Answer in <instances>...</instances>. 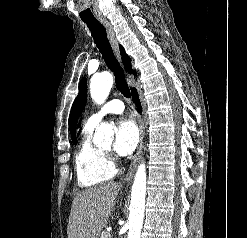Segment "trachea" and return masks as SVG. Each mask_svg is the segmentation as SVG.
Masks as SVG:
<instances>
[{
    "label": "trachea",
    "instance_id": "3493384b",
    "mask_svg": "<svg viewBox=\"0 0 247 238\" xmlns=\"http://www.w3.org/2000/svg\"><path fill=\"white\" fill-rule=\"evenodd\" d=\"M94 39V42L99 49L102 57L108 66V68L114 73L115 84L117 89L127 98L130 97V90L127 85L124 71L117 61L109 40L107 38V33L105 27L99 21H84Z\"/></svg>",
    "mask_w": 247,
    "mask_h": 238
}]
</instances>
